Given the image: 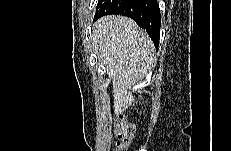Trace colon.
I'll return each mask as SVG.
<instances>
[{"label": "colon", "instance_id": "5ec220e1", "mask_svg": "<svg viewBox=\"0 0 231 151\" xmlns=\"http://www.w3.org/2000/svg\"><path fill=\"white\" fill-rule=\"evenodd\" d=\"M115 133L117 137L116 148L119 150L126 149L133 141L135 129L122 116H119L115 124Z\"/></svg>", "mask_w": 231, "mask_h": 151}]
</instances>
